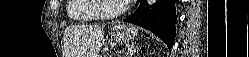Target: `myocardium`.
Wrapping results in <instances>:
<instances>
[{
	"instance_id": "f54148a6",
	"label": "myocardium",
	"mask_w": 249,
	"mask_h": 57,
	"mask_svg": "<svg viewBox=\"0 0 249 57\" xmlns=\"http://www.w3.org/2000/svg\"><path fill=\"white\" fill-rule=\"evenodd\" d=\"M101 2L102 0H91V5L94 11L99 16V18L104 19V20H111V19L118 18L121 15H123L128 8V4L123 2L120 8L116 12L107 13L103 11Z\"/></svg>"
}]
</instances>
